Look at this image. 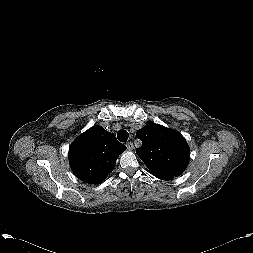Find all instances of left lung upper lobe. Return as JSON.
Wrapping results in <instances>:
<instances>
[{"mask_svg":"<svg viewBox=\"0 0 253 253\" xmlns=\"http://www.w3.org/2000/svg\"><path fill=\"white\" fill-rule=\"evenodd\" d=\"M136 136L142 140V146L136 149V153L152 175L177 177L184 172L190 149L178 131L148 121Z\"/></svg>","mask_w":253,"mask_h":253,"instance_id":"5c2ea615","label":"left lung upper lobe"}]
</instances>
